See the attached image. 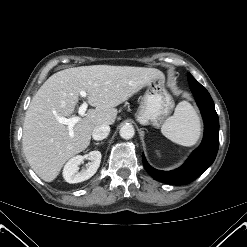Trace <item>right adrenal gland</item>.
Returning a JSON list of instances; mask_svg holds the SVG:
<instances>
[{"mask_svg": "<svg viewBox=\"0 0 247 247\" xmlns=\"http://www.w3.org/2000/svg\"><path fill=\"white\" fill-rule=\"evenodd\" d=\"M102 143H95V145H101Z\"/></svg>", "mask_w": 247, "mask_h": 247, "instance_id": "right-adrenal-gland-1", "label": "right adrenal gland"}]
</instances>
